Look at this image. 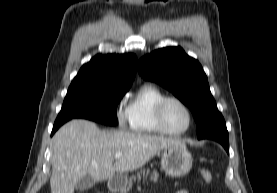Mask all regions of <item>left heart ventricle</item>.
Instances as JSON below:
<instances>
[{
	"label": "left heart ventricle",
	"instance_id": "b2bd125f",
	"mask_svg": "<svg viewBox=\"0 0 277 193\" xmlns=\"http://www.w3.org/2000/svg\"><path fill=\"white\" fill-rule=\"evenodd\" d=\"M166 126L172 131H180L188 124V115L185 109L175 101H170L164 109Z\"/></svg>",
	"mask_w": 277,
	"mask_h": 193
}]
</instances>
